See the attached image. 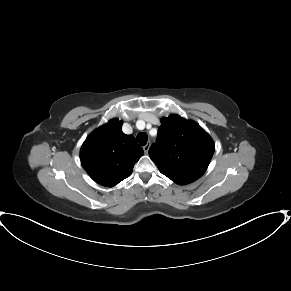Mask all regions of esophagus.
<instances>
[{
  "mask_svg": "<svg viewBox=\"0 0 291 291\" xmlns=\"http://www.w3.org/2000/svg\"><path fill=\"white\" fill-rule=\"evenodd\" d=\"M149 148H150V145H149V144H147V145H145V146L143 147V150H144L145 154L148 153Z\"/></svg>",
  "mask_w": 291,
  "mask_h": 291,
  "instance_id": "34e87169",
  "label": "esophagus"
}]
</instances>
